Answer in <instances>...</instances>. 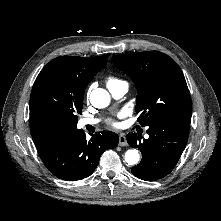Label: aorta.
I'll list each match as a JSON object with an SVG mask.
<instances>
[{"instance_id":"aorta-1","label":"aorta","mask_w":221,"mask_h":221,"mask_svg":"<svg viewBox=\"0 0 221 221\" xmlns=\"http://www.w3.org/2000/svg\"><path fill=\"white\" fill-rule=\"evenodd\" d=\"M110 94L102 88L93 90L90 94V102L96 108H105L110 103ZM139 152L136 149H130L125 152L124 159L128 165H135L139 162Z\"/></svg>"}]
</instances>
